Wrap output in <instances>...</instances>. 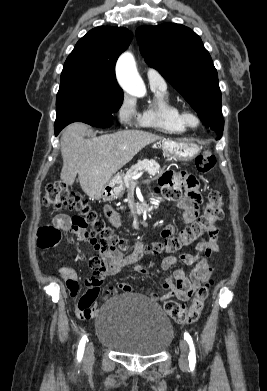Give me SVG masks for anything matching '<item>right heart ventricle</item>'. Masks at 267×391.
Masks as SVG:
<instances>
[{
  "label": "right heart ventricle",
  "mask_w": 267,
  "mask_h": 391,
  "mask_svg": "<svg viewBox=\"0 0 267 391\" xmlns=\"http://www.w3.org/2000/svg\"><path fill=\"white\" fill-rule=\"evenodd\" d=\"M153 98L139 114L138 123L142 127L154 128L165 133L181 134L187 131L181 110L174 103L166 88L151 87Z\"/></svg>",
  "instance_id": "obj_1"
}]
</instances>
